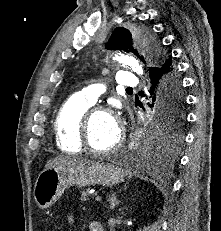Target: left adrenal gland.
Returning a JSON list of instances; mask_svg holds the SVG:
<instances>
[{"label":"left adrenal gland","instance_id":"1","mask_svg":"<svg viewBox=\"0 0 221 231\" xmlns=\"http://www.w3.org/2000/svg\"><path fill=\"white\" fill-rule=\"evenodd\" d=\"M108 202L110 204V209L113 210L116 206L119 205L120 201L117 200V197L115 196V194H112L109 199Z\"/></svg>","mask_w":221,"mask_h":231}]
</instances>
